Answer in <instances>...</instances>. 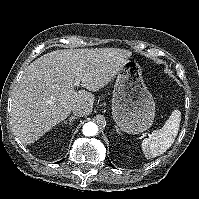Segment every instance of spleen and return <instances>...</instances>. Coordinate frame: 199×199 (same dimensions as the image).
<instances>
[{
	"label": "spleen",
	"instance_id": "3e777b00",
	"mask_svg": "<svg viewBox=\"0 0 199 199\" xmlns=\"http://www.w3.org/2000/svg\"><path fill=\"white\" fill-rule=\"evenodd\" d=\"M181 112L174 110L161 129L154 130L149 138L142 141L141 148L147 159L157 157L166 152L178 134Z\"/></svg>",
	"mask_w": 199,
	"mask_h": 199
}]
</instances>
